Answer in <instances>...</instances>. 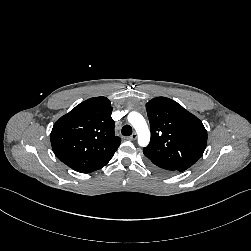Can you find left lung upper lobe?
Segmentation results:
<instances>
[{
  "mask_svg": "<svg viewBox=\"0 0 251 251\" xmlns=\"http://www.w3.org/2000/svg\"><path fill=\"white\" fill-rule=\"evenodd\" d=\"M151 140L143 149L152 165L182 172L203 154L207 131L202 122L180 104L156 97L146 104Z\"/></svg>",
  "mask_w": 251,
  "mask_h": 251,
  "instance_id": "left-lung-upper-lobe-1",
  "label": "left lung upper lobe"
}]
</instances>
